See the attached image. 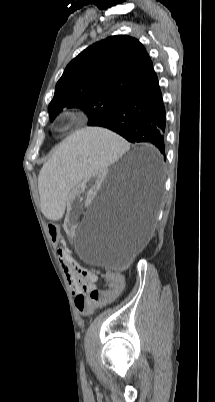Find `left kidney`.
<instances>
[{
	"label": "left kidney",
	"instance_id": "5707ae66",
	"mask_svg": "<svg viewBox=\"0 0 215 402\" xmlns=\"http://www.w3.org/2000/svg\"><path fill=\"white\" fill-rule=\"evenodd\" d=\"M106 172L104 169H97L93 175H86L82 179V184H76L73 191L68 198L69 208L68 215L73 218H78L82 211V200H93L94 193L99 191V186ZM63 227L66 230L67 235L72 236L75 233V229L78 227L76 220H64Z\"/></svg>",
	"mask_w": 215,
	"mask_h": 402
}]
</instances>
